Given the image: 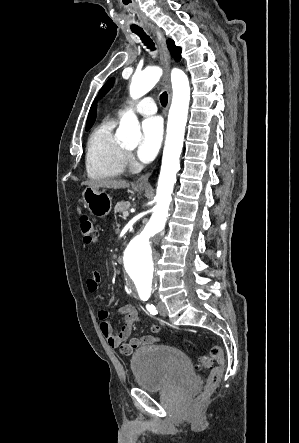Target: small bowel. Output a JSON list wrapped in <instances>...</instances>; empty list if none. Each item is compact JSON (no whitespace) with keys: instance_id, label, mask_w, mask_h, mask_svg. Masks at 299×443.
Returning <instances> with one entry per match:
<instances>
[{"instance_id":"c3829d8e","label":"small bowel","mask_w":299,"mask_h":443,"mask_svg":"<svg viewBox=\"0 0 299 443\" xmlns=\"http://www.w3.org/2000/svg\"><path fill=\"white\" fill-rule=\"evenodd\" d=\"M101 282V275L98 271L92 272L91 276L86 281V288L90 293H94L99 289ZM117 315L122 318L119 331H116L112 324L109 322V312L101 309L98 311L97 316L100 320V329L107 343L111 347H120L124 354H129L132 350L137 348H144L152 346L160 341L158 336L154 334L158 333L161 329L159 324H152L150 331L153 334L143 335L141 337H132L133 326L138 322L139 315L135 306L131 304H125L117 310ZM129 340L128 343L126 341Z\"/></svg>"}]
</instances>
